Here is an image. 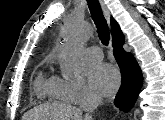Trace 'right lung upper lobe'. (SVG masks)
Wrapping results in <instances>:
<instances>
[{
  "label": "right lung upper lobe",
  "mask_w": 165,
  "mask_h": 120,
  "mask_svg": "<svg viewBox=\"0 0 165 120\" xmlns=\"http://www.w3.org/2000/svg\"><path fill=\"white\" fill-rule=\"evenodd\" d=\"M111 29H112V42L124 38V35L118 23L113 18L111 19Z\"/></svg>",
  "instance_id": "1"
}]
</instances>
